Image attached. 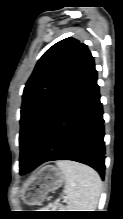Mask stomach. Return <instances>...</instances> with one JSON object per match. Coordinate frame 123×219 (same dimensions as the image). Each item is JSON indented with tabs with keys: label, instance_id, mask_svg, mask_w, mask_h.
<instances>
[{
	"label": "stomach",
	"instance_id": "obj_1",
	"mask_svg": "<svg viewBox=\"0 0 123 219\" xmlns=\"http://www.w3.org/2000/svg\"><path fill=\"white\" fill-rule=\"evenodd\" d=\"M64 173L56 166L40 168L25 189L24 200L31 205L41 204L49 192L57 190L64 182Z\"/></svg>",
	"mask_w": 123,
	"mask_h": 219
}]
</instances>
